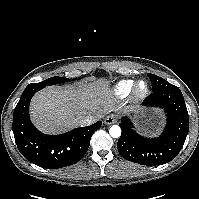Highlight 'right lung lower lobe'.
<instances>
[{
	"mask_svg": "<svg viewBox=\"0 0 199 199\" xmlns=\"http://www.w3.org/2000/svg\"><path fill=\"white\" fill-rule=\"evenodd\" d=\"M37 91L26 88L14 110L13 133L19 151L28 161L47 169L75 164L87 152L91 136L101 127L102 122L61 135L43 134L29 118V103Z\"/></svg>",
	"mask_w": 199,
	"mask_h": 199,
	"instance_id": "98d812e1",
	"label": "right lung lower lobe"
}]
</instances>
